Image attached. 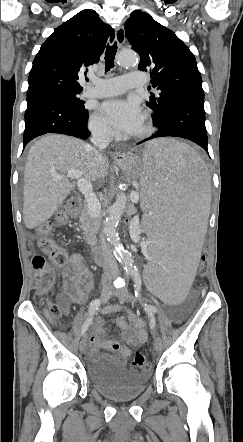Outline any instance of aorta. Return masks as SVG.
Instances as JSON below:
<instances>
[{"instance_id":"obj_1","label":"aorta","mask_w":243,"mask_h":442,"mask_svg":"<svg viewBox=\"0 0 243 442\" xmlns=\"http://www.w3.org/2000/svg\"><path fill=\"white\" fill-rule=\"evenodd\" d=\"M137 64V57L131 51H122L118 55V65L121 68H132ZM126 194L119 191L116 195V200L109 208V215L104 221L103 233L112 245L113 251L117 259L124 263L127 272L134 270L131 254L125 250L120 242V238L117 232L118 223L125 212L126 208Z\"/></svg>"}]
</instances>
